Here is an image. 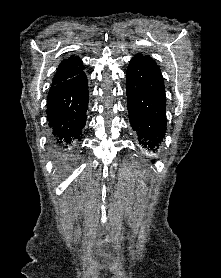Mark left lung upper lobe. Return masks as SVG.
Wrapping results in <instances>:
<instances>
[{
    "instance_id": "left-lung-upper-lobe-1",
    "label": "left lung upper lobe",
    "mask_w": 221,
    "mask_h": 278,
    "mask_svg": "<svg viewBox=\"0 0 221 278\" xmlns=\"http://www.w3.org/2000/svg\"><path fill=\"white\" fill-rule=\"evenodd\" d=\"M142 57H149L148 55H143V54H137L133 59H139Z\"/></svg>"
}]
</instances>
